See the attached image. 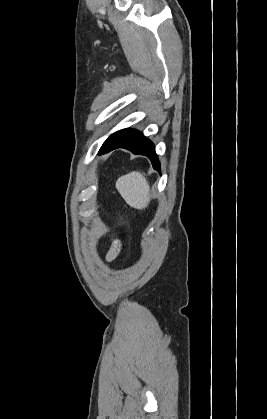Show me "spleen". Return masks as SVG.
I'll return each mask as SVG.
<instances>
[{
    "label": "spleen",
    "mask_w": 267,
    "mask_h": 419,
    "mask_svg": "<svg viewBox=\"0 0 267 419\" xmlns=\"http://www.w3.org/2000/svg\"><path fill=\"white\" fill-rule=\"evenodd\" d=\"M116 189L125 202L136 209H145L150 202V186L145 176L133 171L116 181Z\"/></svg>",
    "instance_id": "obj_1"
}]
</instances>
